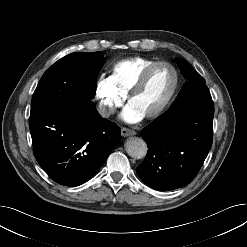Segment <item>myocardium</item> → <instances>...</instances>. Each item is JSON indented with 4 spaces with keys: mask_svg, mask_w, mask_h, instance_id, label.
Listing matches in <instances>:
<instances>
[{
    "mask_svg": "<svg viewBox=\"0 0 247 247\" xmlns=\"http://www.w3.org/2000/svg\"><path fill=\"white\" fill-rule=\"evenodd\" d=\"M159 66H167L172 70L173 76H174V82H173V86H172V89H171L169 95L167 96L166 100L161 104V106H159L152 113L145 116V118L148 120L155 119V118H158L159 116H161L169 108V106L173 102L174 98L176 97V94L178 92L179 85H180V76H179V73H178V70L176 69V67L167 61H156V62L152 63L151 65L146 67L141 72L137 81L135 82V84L133 85V87L131 88L129 93L127 94V103L130 104L131 100L135 96H137L141 92L143 87L145 86L147 79H148L149 75L151 74V72Z\"/></svg>",
    "mask_w": 247,
    "mask_h": 247,
    "instance_id": "myocardium-1",
    "label": "myocardium"
}]
</instances>
